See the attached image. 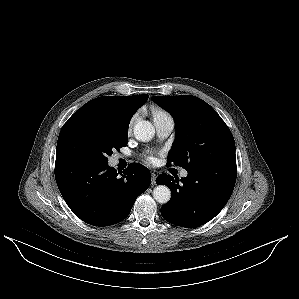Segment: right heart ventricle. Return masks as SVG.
<instances>
[{"label":"right heart ventricle","instance_id":"e07e8e85","mask_svg":"<svg viewBox=\"0 0 299 299\" xmlns=\"http://www.w3.org/2000/svg\"><path fill=\"white\" fill-rule=\"evenodd\" d=\"M152 114L154 117V120L158 119V118H162L165 116H169L164 110H162L161 108H153L152 110Z\"/></svg>","mask_w":299,"mask_h":299}]
</instances>
